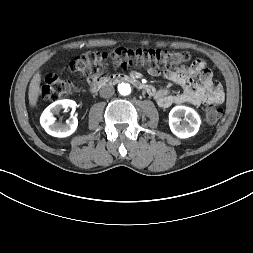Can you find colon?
Here are the masks:
<instances>
[{
	"mask_svg": "<svg viewBox=\"0 0 253 253\" xmlns=\"http://www.w3.org/2000/svg\"><path fill=\"white\" fill-rule=\"evenodd\" d=\"M187 52H172L160 49L116 48L105 52H86L76 55L69 63V70L78 73L89 83H96L109 73V64L126 69L131 66L166 67L187 61ZM77 89V84L51 74L46 76L41 85L42 98L55 100ZM205 119L209 124L219 121L222 111L216 105H206Z\"/></svg>",
	"mask_w": 253,
	"mask_h": 253,
	"instance_id": "5ec220e1",
	"label": "colon"
}]
</instances>
